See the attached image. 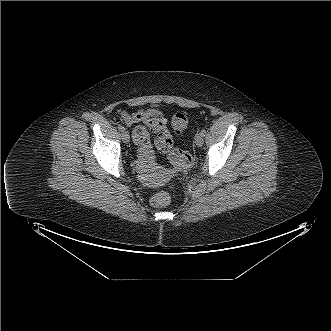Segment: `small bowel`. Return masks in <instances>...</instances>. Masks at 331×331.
Wrapping results in <instances>:
<instances>
[{
  "mask_svg": "<svg viewBox=\"0 0 331 331\" xmlns=\"http://www.w3.org/2000/svg\"><path fill=\"white\" fill-rule=\"evenodd\" d=\"M143 112V110H138L132 113L123 112L121 114V118L126 126H132L143 122ZM136 129L133 131V140L134 143L139 147L138 156L141 163L146 164L153 160V149L148 140V133L144 137H141L136 133Z\"/></svg>",
  "mask_w": 331,
  "mask_h": 331,
  "instance_id": "c3829d8e",
  "label": "small bowel"
}]
</instances>
